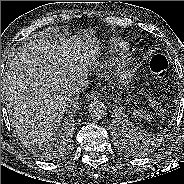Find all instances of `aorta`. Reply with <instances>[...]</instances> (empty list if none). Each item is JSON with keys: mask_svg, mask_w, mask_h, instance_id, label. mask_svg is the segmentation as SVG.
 <instances>
[{"mask_svg": "<svg viewBox=\"0 0 184 184\" xmlns=\"http://www.w3.org/2000/svg\"><path fill=\"white\" fill-rule=\"evenodd\" d=\"M88 111H89L90 117L95 120H101L107 114L106 106L101 101L91 102L89 105Z\"/></svg>", "mask_w": 184, "mask_h": 184, "instance_id": "aorta-1", "label": "aorta"}]
</instances>
